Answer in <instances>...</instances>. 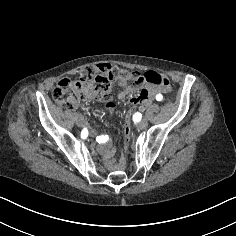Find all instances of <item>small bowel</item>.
Here are the masks:
<instances>
[{"label": "small bowel", "instance_id": "c3829d8e", "mask_svg": "<svg viewBox=\"0 0 236 236\" xmlns=\"http://www.w3.org/2000/svg\"><path fill=\"white\" fill-rule=\"evenodd\" d=\"M120 84L123 86V89L118 94V98L120 100H128L130 103L136 99L142 91L146 92V96L142 99L140 103H142L143 107H147L151 103V96L156 91V89H142L141 84L132 83L127 84L126 81L121 80ZM169 88L163 87L162 91H167ZM134 95V97H131ZM103 99L105 101L106 109L109 113L113 111L114 103L111 100V98L105 94L103 95ZM76 122L79 126L85 127L88 125L87 121L83 117L82 114L77 113L76 114ZM97 143H98V151L102 154L103 157V163L106 166V168L110 171L116 172L120 171L124 168L125 160L124 158H121L120 160H117L115 158V140L111 139L108 135H100L97 137Z\"/></svg>", "mask_w": 236, "mask_h": 236}]
</instances>
